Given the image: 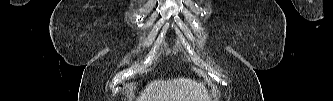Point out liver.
Wrapping results in <instances>:
<instances>
[{
    "mask_svg": "<svg viewBox=\"0 0 333 101\" xmlns=\"http://www.w3.org/2000/svg\"><path fill=\"white\" fill-rule=\"evenodd\" d=\"M203 84L190 78L154 80L140 93L137 101H208Z\"/></svg>",
    "mask_w": 333,
    "mask_h": 101,
    "instance_id": "1",
    "label": "liver"
}]
</instances>
